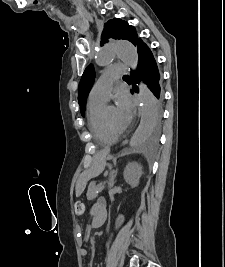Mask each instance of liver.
Wrapping results in <instances>:
<instances>
[{"instance_id":"6515ba94","label":"liver","mask_w":225,"mask_h":267,"mask_svg":"<svg viewBox=\"0 0 225 267\" xmlns=\"http://www.w3.org/2000/svg\"><path fill=\"white\" fill-rule=\"evenodd\" d=\"M107 155V152H100L95 155L94 162L89 170V176H98L105 168V157ZM77 195H80V192H77Z\"/></svg>"}]
</instances>
